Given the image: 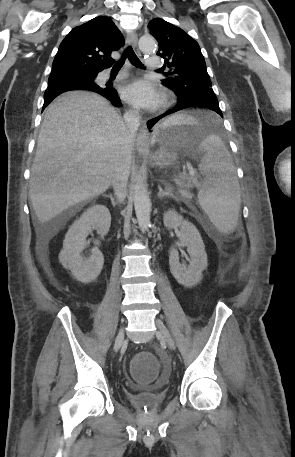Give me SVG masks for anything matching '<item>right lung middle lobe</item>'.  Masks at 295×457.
Masks as SVG:
<instances>
[{
    "instance_id": "obj_1",
    "label": "right lung middle lobe",
    "mask_w": 295,
    "mask_h": 457,
    "mask_svg": "<svg viewBox=\"0 0 295 457\" xmlns=\"http://www.w3.org/2000/svg\"><path fill=\"white\" fill-rule=\"evenodd\" d=\"M96 76H91V77H81V78H78L76 79V81H81V82H84V83H92L94 82ZM65 92V90H57V89H46L45 91V94H44V98H48V97H51V96H57L61 93Z\"/></svg>"
}]
</instances>
